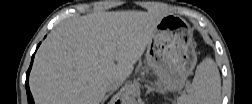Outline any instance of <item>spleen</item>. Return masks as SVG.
Here are the masks:
<instances>
[{"instance_id": "3e777b00", "label": "spleen", "mask_w": 252, "mask_h": 104, "mask_svg": "<svg viewBox=\"0 0 252 104\" xmlns=\"http://www.w3.org/2000/svg\"><path fill=\"white\" fill-rule=\"evenodd\" d=\"M221 97V78L214 60L202 59L196 68L188 93L178 97L179 104H217Z\"/></svg>"}]
</instances>
